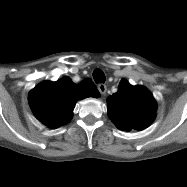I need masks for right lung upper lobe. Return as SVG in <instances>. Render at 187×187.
Listing matches in <instances>:
<instances>
[{
  "mask_svg": "<svg viewBox=\"0 0 187 187\" xmlns=\"http://www.w3.org/2000/svg\"><path fill=\"white\" fill-rule=\"evenodd\" d=\"M88 89L81 83L71 82L67 76L56 82L45 81L29 92L30 107L35 116L45 125L57 128L72 118V111L78 99L98 97L96 86L90 79Z\"/></svg>",
  "mask_w": 187,
  "mask_h": 187,
  "instance_id": "cb5924a9",
  "label": "right lung upper lobe"
}]
</instances>
